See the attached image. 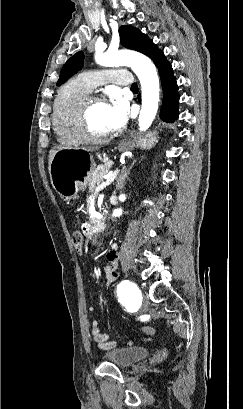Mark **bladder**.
I'll use <instances>...</instances> for the list:
<instances>
[{
	"label": "bladder",
	"mask_w": 243,
	"mask_h": 409,
	"mask_svg": "<svg viewBox=\"0 0 243 409\" xmlns=\"http://www.w3.org/2000/svg\"><path fill=\"white\" fill-rule=\"evenodd\" d=\"M149 355L144 347H117L107 351L105 359L120 368L129 367Z\"/></svg>",
	"instance_id": "31cf9c89"
}]
</instances>
